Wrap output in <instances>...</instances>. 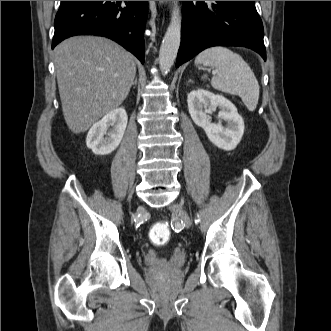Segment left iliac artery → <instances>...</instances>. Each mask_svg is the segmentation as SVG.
<instances>
[{
  "mask_svg": "<svg viewBox=\"0 0 331 331\" xmlns=\"http://www.w3.org/2000/svg\"><path fill=\"white\" fill-rule=\"evenodd\" d=\"M195 222L198 223L199 222V219H196Z\"/></svg>",
  "mask_w": 331,
  "mask_h": 331,
  "instance_id": "1",
  "label": "left iliac artery"
}]
</instances>
